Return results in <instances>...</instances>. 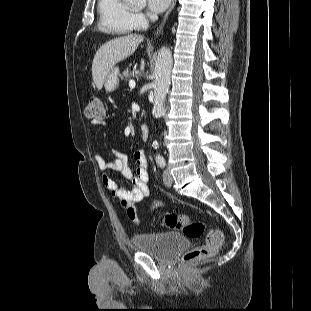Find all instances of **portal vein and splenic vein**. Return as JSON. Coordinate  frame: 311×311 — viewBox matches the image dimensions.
<instances>
[{"mask_svg":"<svg viewBox=\"0 0 311 311\" xmlns=\"http://www.w3.org/2000/svg\"><path fill=\"white\" fill-rule=\"evenodd\" d=\"M135 85H136V83H135L134 80H130V81H129V87H130V88H134Z\"/></svg>","mask_w":311,"mask_h":311,"instance_id":"1","label":"portal vein and splenic vein"}]
</instances>
